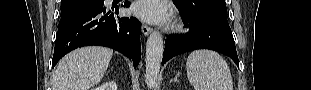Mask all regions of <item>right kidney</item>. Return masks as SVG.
Returning a JSON list of instances; mask_svg holds the SVG:
<instances>
[{
    "label": "right kidney",
    "instance_id": "1",
    "mask_svg": "<svg viewBox=\"0 0 311 90\" xmlns=\"http://www.w3.org/2000/svg\"><path fill=\"white\" fill-rule=\"evenodd\" d=\"M107 87H108V89H109V87L111 88H113V89H117L116 88V86H114L112 83H109V84H107V85H104V86H101V87H99V88H95V90H106L107 89Z\"/></svg>",
    "mask_w": 311,
    "mask_h": 90
}]
</instances>
